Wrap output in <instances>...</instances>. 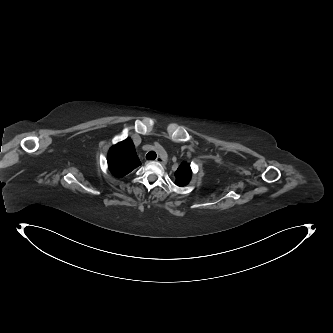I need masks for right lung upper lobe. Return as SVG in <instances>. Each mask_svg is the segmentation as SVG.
Here are the masks:
<instances>
[{
  "label": "right lung upper lobe",
  "mask_w": 333,
  "mask_h": 333,
  "mask_svg": "<svg viewBox=\"0 0 333 333\" xmlns=\"http://www.w3.org/2000/svg\"><path fill=\"white\" fill-rule=\"evenodd\" d=\"M107 162L110 172L116 177H123L141 165L130 138L110 148Z\"/></svg>",
  "instance_id": "1"
}]
</instances>
